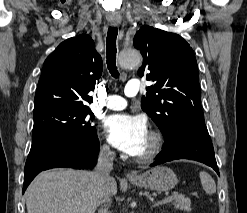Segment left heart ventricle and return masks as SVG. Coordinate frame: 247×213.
<instances>
[{
	"instance_id": "left-heart-ventricle-1",
	"label": "left heart ventricle",
	"mask_w": 247,
	"mask_h": 213,
	"mask_svg": "<svg viewBox=\"0 0 247 213\" xmlns=\"http://www.w3.org/2000/svg\"><path fill=\"white\" fill-rule=\"evenodd\" d=\"M150 145H151V138L148 135L146 143H145V146H144L143 150L141 151V153L138 156L144 155L149 150Z\"/></svg>"
}]
</instances>
